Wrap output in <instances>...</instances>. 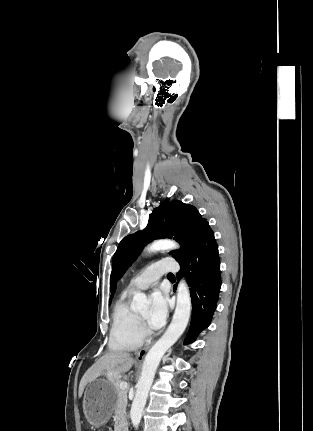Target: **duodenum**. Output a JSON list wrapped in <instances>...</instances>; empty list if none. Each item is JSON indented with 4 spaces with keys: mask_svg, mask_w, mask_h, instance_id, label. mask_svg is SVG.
I'll return each instance as SVG.
<instances>
[{
    "mask_svg": "<svg viewBox=\"0 0 313 431\" xmlns=\"http://www.w3.org/2000/svg\"><path fill=\"white\" fill-rule=\"evenodd\" d=\"M117 431H128L126 424L122 423L118 426Z\"/></svg>",
    "mask_w": 313,
    "mask_h": 431,
    "instance_id": "410a0bca",
    "label": "duodenum"
}]
</instances>
